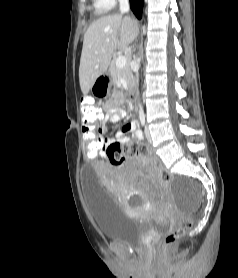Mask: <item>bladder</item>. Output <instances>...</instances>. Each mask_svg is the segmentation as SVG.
<instances>
[{"label": "bladder", "mask_w": 238, "mask_h": 278, "mask_svg": "<svg viewBox=\"0 0 238 278\" xmlns=\"http://www.w3.org/2000/svg\"><path fill=\"white\" fill-rule=\"evenodd\" d=\"M83 180H95L94 167H83ZM89 209L100 234L109 240L122 241L130 246H144L149 229L162 230L169 221L147 223L125 213L117 198L99 181L83 184Z\"/></svg>", "instance_id": "31cf9c89"}]
</instances>
